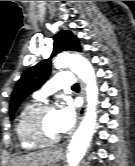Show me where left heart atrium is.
I'll return each mask as SVG.
<instances>
[{"mask_svg": "<svg viewBox=\"0 0 135 166\" xmlns=\"http://www.w3.org/2000/svg\"><path fill=\"white\" fill-rule=\"evenodd\" d=\"M55 122L59 133L67 132L75 122V112L71 105L67 104L55 111Z\"/></svg>", "mask_w": 135, "mask_h": 166, "instance_id": "left-heart-atrium-1", "label": "left heart atrium"}]
</instances>
